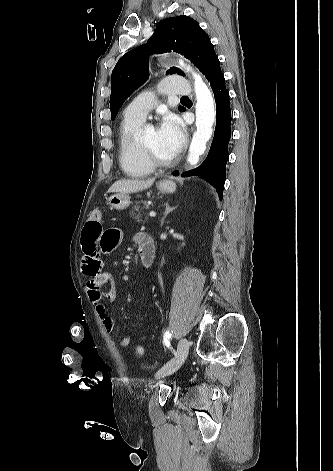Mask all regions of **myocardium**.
<instances>
[{"label":"myocardium","mask_w":333,"mask_h":471,"mask_svg":"<svg viewBox=\"0 0 333 471\" xmlns=\"http://www.w3.org/2000/svg\"><path fill=\"white\" fill-rule=\"evenodd\" d=\"M140 147L142 152L144 153L147 160L154 166V167H169L174 164L175 159H168L164 160L157 157L151 150L147 148L142 140H140Z\"/></svg>","instance_id":"obj_1"}]
</instances>
